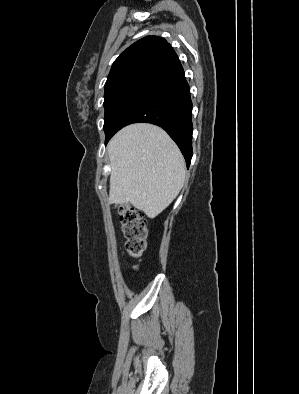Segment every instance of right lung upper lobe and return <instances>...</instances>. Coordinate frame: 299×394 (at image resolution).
<instances>
[{"label":"right lung upper lobe","instance_id":"1","mask_svg":"<svg viewBox=\"0 0 299 394\" xmlns=\"http://www.w3.org/2000/svg\"><path fill=\"white\" fill-rule=\"evenodd\" d=\"M181 66L177 54L162 37H144L123 51L114 61L105 92L118 86H151Z\"/></svg>","mask_w":299,"mask_h":394}]
</instances>
